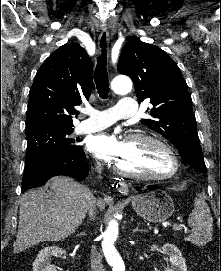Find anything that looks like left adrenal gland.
<instances>
[{
    "label": "left adrenal gland",
    "instance_id": "left-adrenal-gland-1",
    "mask_svg": "<svg viewBox=\"0 0 221 271\" xmlns=\"http://www.w3.org/2000/svg\"><path fill=\"white\" fill-rule=\"evenodd\" d=\"M139 225H140V223L138 221L137 227H135V229H132V231H146V229H139Z\"/></svg>",
    "mask_w": 221,
    "mask_h": 271
}]
</instances>
